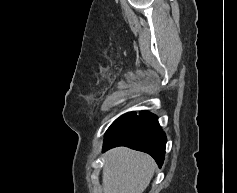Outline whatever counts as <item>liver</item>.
<instances>
[{"mask_svg": "<svg viewBox=\"0 0 237 193\" xmlns=\"http://www.w3.org/2000/svg\"><path fill=\"white\" fill-rule=\"evenodd\" d=\"M155 168L154 159L145 153L126 147L114 148L106 154L103 193H143Z\"/></svg>", "mask_w": 237, "mask_h": 193, "instance_id": "6515ba94", "label": "liver"}]
</instances>
